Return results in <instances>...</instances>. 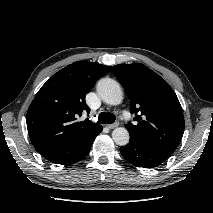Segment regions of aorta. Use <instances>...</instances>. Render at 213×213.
I'll return each mask as SVG.
<instances>
[{
    "label": "aorta",
    "instance_id": "762f6f07",
    "mask_svg": "<svg viewBox=\"0 0 213 213\" xmlns=\"http://www.w3.org/2000/svg\"><path fill=\"white\" fill-rule=\"evenodd\" d=\"M97 92L109 105H118L123 100V92L119 83L110 78H104L98 82ZM112 139L117 145L124 146L129 143L130 135L126 128L118 127L113 130Z\"/></svg>",
    "mask_w": 213,
    "mask_h": 213
}]
</instances>
